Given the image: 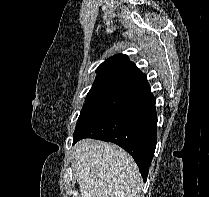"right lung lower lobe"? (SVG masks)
<instances>
[{"mask_svg": "<svg viewBox=\"0 0 209 197\" xmlns=\"http://www.w3.org/2000/svg\"><path fill=\"white\" fill-rule=\"evenodd\" d=\"M157 116L150 89L74 133L73 143L82 138L113 142L132 155L146 180L156 148Z\"/></svg>", "mask_w": 209, "mask_h": 197, "instance_id": "98d812e1", "label": "right lung lower lobe"}]
</instances>
